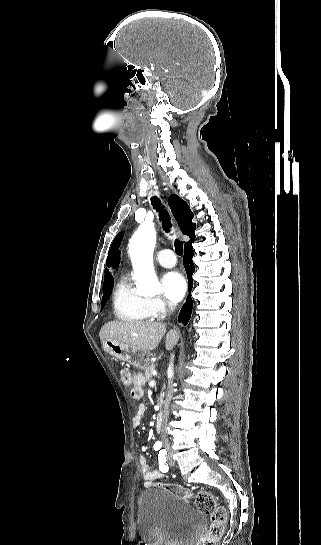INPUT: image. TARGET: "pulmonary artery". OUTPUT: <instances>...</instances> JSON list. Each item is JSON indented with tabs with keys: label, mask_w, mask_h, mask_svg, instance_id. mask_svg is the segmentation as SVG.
Here are the masks:
<instances>
[{
	"label": "pulmonary artery",
	"mask_w": 321,
	"mask_h": 545,
	"mask_svg": "<svg viewBox=\"0 0 321 545\" xmlns=\"http://www.w3.org/2000/svg\"><path fill=\"white\" fill-rule=\"evenodd\" d=\"M155 241V237L153 239ZM173 253L169 249H163L156 253L155 259L156 261L163 267L171 268L176 265V260L172 259Z\"/></svg>",
	"instance_id": "pulmonary-artery-1"
}]
</instances>
